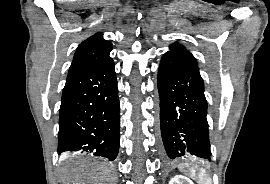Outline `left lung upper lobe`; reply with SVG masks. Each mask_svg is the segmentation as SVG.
Masks as SVG:
<instances>
[{"mask_svg": "<svg viewBox=\"0 0 270 184\" xmlns=\"http://www.w3.org/2000/svg\"><path fill=\"white\" fill-rule=\"evenodd\" d=\"M170 51L176 52V53H179V54L185 56L186 58H188L191 62H193L197 66L196 59L184 46H182L178 43H174V44L170 45Z\"/></svg>", "mask_w": 270, "mask_h": 184, "instance_id": "obj_1", "label": "left lung upper lobe"}]
</instances>
